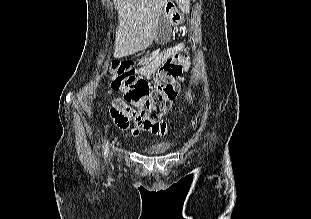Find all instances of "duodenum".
Listing matches in <instances>:
<instances>
[{
  "label": "duodenum",
  "instance_id": "obj_1",
  "mask_svg": "<svg viewBox=\"0 0 311 219\" xmlns=\"http://www.w3.org/2000/svg\"><path fill=\"white\" fill-rule=\"evenodd\" d=\"M172 11H173L172 5H171V4H167V5L165 6V12H166L167 14H170Z\"/></svg>",
  "mask_w": 311,
  "mask_h": 219
}]
</instances>
